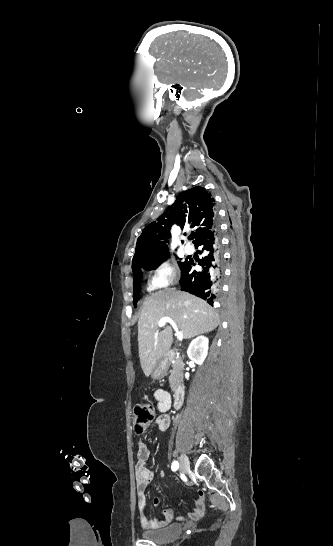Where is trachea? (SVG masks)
Returning a JSON list of instances; mask_svg holds the SVG:
<instances>
[{"mask_svg": "<svg viewBox=\"0 0 333 546\" xmlns=\"http://www.w3.org/2000/svg\"><path fill=\"white\" fill-rule=\"evenodd\" d=\"M189 239H190V240H191V239H193V236H192V235H191V236H189Z\"/></svg>", "mask_w": 333, "mask_h": 546, "instance_id": "3493384b", "label": "trachea"}]
</instances>
